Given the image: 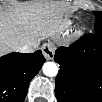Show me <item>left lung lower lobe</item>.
<instances>
[{"label": "left lung lower lobe", "instance_id": "left-lung-lower-lobe-1", "mask_svg": "<svg viewBox=\"0 0 102 102\" xmlns=\"http://www.w3.org/2000/svg\"><path fill=\"white\" fill-rule=\"evenodd\" d=\"M55 80L58 102H102V31L87 34L69 48L59 47Z\"/></svg>", "mask_w": 102, "mask_h": 102}]
</instances>
